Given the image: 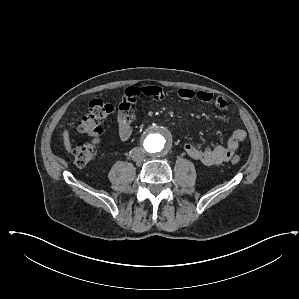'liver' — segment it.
Returning <instances> with one entry per match:
<instances>
[{
    "label": "liver",
    "mask_w": 299,
    "mask_h": 299,
    "mask_svg": "<svg viewBox=\"0 0 299 299\" xmlns=\"http://www.w3.org/2000/svg\"><path fill=\"white\" fill-rule=\"evenodd\" d=\"M63 141H64L65 149L70 153L71 152V143H70V138H69V132L66 129H64V132H63Z\"/></svg>",
    "instance_id": "1"
}]
</instances>
